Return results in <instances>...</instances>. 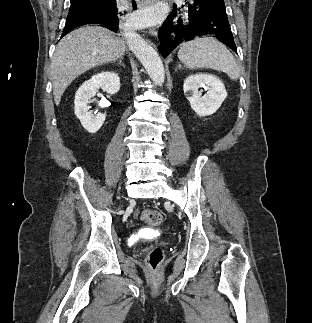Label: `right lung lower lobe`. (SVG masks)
Masks as SVG:
<instances>
[{
	"label": "right lung lower lobe",
	"mask_w": 312,
	"mask_h": 323,
	"mask_svg": "<svg viewBox=\"0 0 312 323\" xmlns=\"http://www.w3.org/2000/svg\"><path fill=\"white\" fill-rule=\"evenodd\" d=\"M134 9L137 5L132 1ZM100 24L115 33L127 27L128 14L117 8L116 0H94L91 3L79 4L70 8L62 36L71 29L86 25Z\"/></svg>",
	"instance_id": "1"
}]
</instances>
